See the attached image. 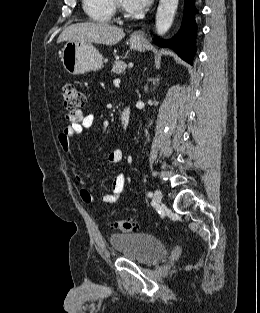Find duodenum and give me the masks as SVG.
<instances>
[{
  "label": "duodenum",
  "mask_w": 260,
  "mask_h": 313,
  "mask_svg": "<svg viewBox=\"0 0 260 313\" xmlns=\"http://www.w3.org/2000/svg\"><path fill=\"white\" fill-rule=\"evenodd\" d=\"M131 121V110L130 107L127 105L123 106L122 115H121V125L123 130L127 131L130 127Z\"/></svg>",
  "instance_id": "obj_1"
}]
</instances>
